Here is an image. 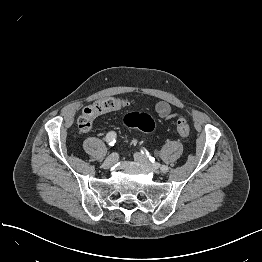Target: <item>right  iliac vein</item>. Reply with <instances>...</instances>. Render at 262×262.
Listing matches in <instances>:
<instances>
[{
    "label": "right iliac vein",
    "instance_id": "1",
    "mask_svg": "<svg viewBox=\"0 0 262 262\" xmlns=\"http://www.w3.org/2000/svg\"><path fill=\"white\" fill-rule=\"evenodd\" d=\"M118 155L117 153H112L107 159L103 162V168L104 169H109L111 168L117 161Z\"/></svg>",
    "mask_w": 262,
    "mask_h": 262
}]
</instances>
